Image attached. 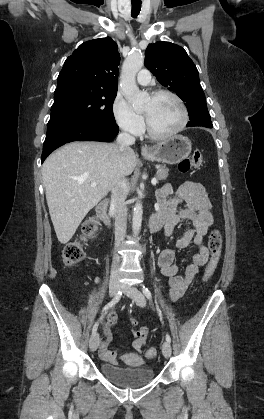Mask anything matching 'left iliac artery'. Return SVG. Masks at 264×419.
Instances as JSON below:
<instances>
[{
    "mask_svg": "<svg viewBox=\"0 0 264 419\" xmlns=\"http://www.w3.org/2000/svg\"><path fill=\"white\" fill-rule=\"evenodd\" d=\"M142 291H143L144 295H145L148 299H151V298H152L151 292H150V290H149L147 287L143 286V287H142ZM166 341H168L169 343L171 342V337H170V335H169V334H167V335H166Z\"/></svg>",
    "mask_w": 264,
    "mask_h": 419,
    "instance_id": "1",
    "label": "left iliac artery"
}]
</instances>
